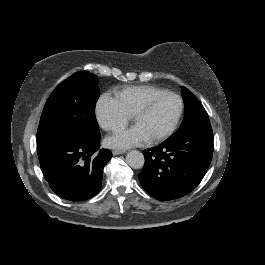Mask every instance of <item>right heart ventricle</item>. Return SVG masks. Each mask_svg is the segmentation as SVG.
<instances>
[{"mask_svg":"<svg viewBox=\"0 0 265 265\" xmlns=\"http://www.w3.org/2000/svg\"><path fill=\"white\" fill-rule=\"evenodd\" d=\"M160 90L151 85L128 86L116 93L124 112L127 116H132L140 104L152 93Z\"/></svg>","mask_w":265,"mask_h":265,"instance_id":"e07e8e85","label":"right heart ventricle"}]
</instances>
